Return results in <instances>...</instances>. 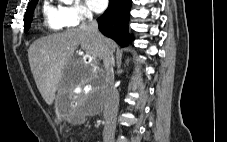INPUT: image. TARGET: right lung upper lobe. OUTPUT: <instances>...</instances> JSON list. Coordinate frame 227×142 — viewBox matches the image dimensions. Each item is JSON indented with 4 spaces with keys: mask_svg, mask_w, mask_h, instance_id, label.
<instances>
[{
    "mask_svg": "<svg viewBox=\"0 0 227 142\" xmlns=\"http://www.w3.org/2000/svg\"><path fill=\"white\" fill-rule=\"evenodd\" d=\"M34 1H36V0H31V2H30V3L34 2Z\"/></svg>",
    "mask_w": 227,
    "mask_h": 142,
    "instance_id": "cb5924a9",
    "label": "right lung upper lobe"
}]
</instances>
